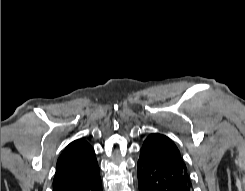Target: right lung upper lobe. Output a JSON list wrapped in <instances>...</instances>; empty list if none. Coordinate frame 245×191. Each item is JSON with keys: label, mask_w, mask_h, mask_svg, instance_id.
Returning <instances> with one entry per match:
<instances>
[{"label": "right lung upper lobe", "mask_w": 245, "mask_h": 191, "mask_svg": "<svg viewBox=\"0 0 245 191\" xmlns=\"http://www.w3.org/2000/svg\"><path fill=\"white\" fill-rule=\"evenodd\" d=\"M97 165L95 152L85 140L71 142L57 161L53 190L91 172Z\"/></svg>", "instance_id": "right-lung-upper-lobe-1"}]
</instances>
